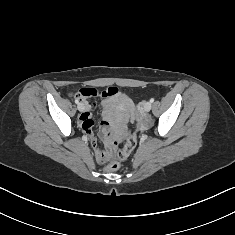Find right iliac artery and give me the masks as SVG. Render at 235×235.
I'll return each instance as SVG.
<instances>
[{
	"mask_svg": "<svg viewBox=\"0 0 235 235\" xmlns=\"http://www.w3.org/2000/svg\"><path fill=\"white\" fill-rule=\"evenodd\" d=\"M75 103L78 104V103H79V100L76 99V100H75Z\"/></svg>",
	"mask_w": 235,
	"mask_h": 235,
	"instance_id": "82829eb1",
	"label": "right iliac artery"
}]
</instances>
